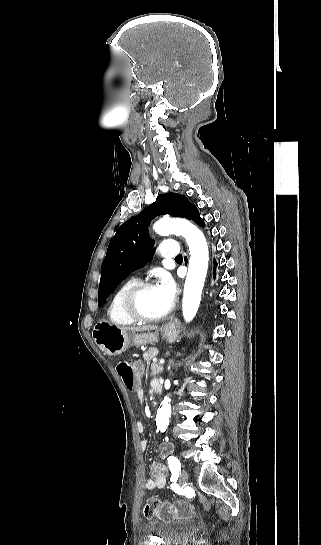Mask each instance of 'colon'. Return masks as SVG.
<instances>
[{
	"mask_svg": "<svg viewBox=\"0 0 321 545\" xmlns=\"http://www.w3.org/2000/svg\"><path fill=\"white\" fill-rule=\"evenodd\" d=\"M116 370L126 388L130 391L135 390L137 387V379L132 364L125 360L120 361L116 366ZM192 511V507L185 502L161 504L156 498L149 499L144 507V515L146 517L157 516L164 520L188 517L191 515Z\"/></svg>",
	"mask_w": 321,
	"mask_h": 545,
	"instance_id": "1",
	"label": "colon"
}]
</instances>
